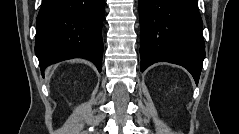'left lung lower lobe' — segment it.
I'll return each mask as SVG.
<instances>
[{
    "instance_id": "0a47b994",
    "label": "left lung lower lobe",
    "mask_w": 239,
    "mask_h": 134,
    "mask_svg": "<svg viewBox=\"0 0 239 134\" xmlns=\"http://www.w3.org/2000/svg\"><path fill=\"white\" fill-rule=\"evenodd\" d=\"M141 72L155 62L185 67L198 84L205 46L197 0H139Z\"/></svg>"
}]
</instances>
